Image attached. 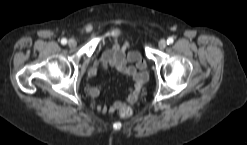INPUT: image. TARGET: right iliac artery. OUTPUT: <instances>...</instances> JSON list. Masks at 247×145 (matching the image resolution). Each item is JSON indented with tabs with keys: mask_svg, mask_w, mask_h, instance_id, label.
Instances as JSON below:
<instances>
[{
	"mask_svg": "<svg viewBox=\"0 0 247 145\" xmlns=\"http://www.w3.org/2000/svg\"><path fill=\"white\" fill-rule=\"evenodd\" d=\"M61 43H62L63 45H65V44L67 43V40H66L65 38H63V39L61 40Z\"/></svg>",
	"mask_w": 247,
	"mask_h": 145,
	"instance_id": "82829eb1",
	"label": "right iliac artery"
}]
</instances>
